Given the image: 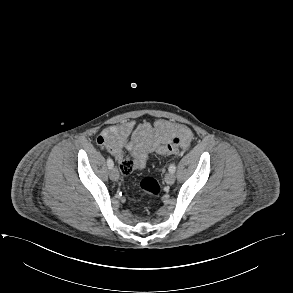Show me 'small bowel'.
Instances as JSON below:
<instances>
[{"label": "small bowel", "mask_w": 293, "mask_h": 293, "mask_svg": "<svg viewBox=\"0 0 293 293\" xmlns=\"http://www.w3.org/2000/svg\"><path fill=\"white\" fill-rule=\"evenodd\" d=\"M173 137L180 139V146L187 148L193 140L189 127L165 119L153 124H136L128 120L104 129L97 137V144L107 150L119 165L122 174L144 168L149 156L161 143Z\"/></svg>", "instance_id": "c3829d8e"}]
</instances>
